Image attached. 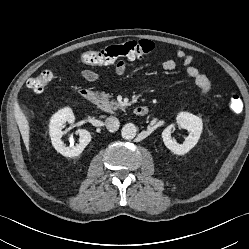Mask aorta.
<instances>
[{
    "mask_svg": "<svg viewBox=\"0 0 249 249\" xmlns=\"http://www.w3.org/2000/svg\"><path fill=\"white\" fill-rule=\"evenodd\" d=\"M137 133V128L133 123H127L123 126L121 130V135L126 140H132L135 138Z\"/></svg>",
    "mask_w": 249,
    "mask_h": 249,
    "instance_id": "aorta-1",
    "label": "aorta"
}]
</instances>
